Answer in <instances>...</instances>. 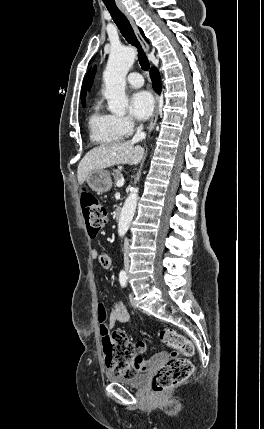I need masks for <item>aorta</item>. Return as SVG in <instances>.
<instances>
[{"instance_id":"obj_1","label":"aorta","mask_w":264,"mask_h":429,"mask_svg":"<svg viewBox=\"0 0 264 429\" xmlns=\"http://www.w3.org/2000/svg\"><path fill=\"white\" fill-rule=\"evenodd\" d=\"M136 53L131 47H116L110 52L103 73L108 110L115 114H124L128 105L125 94L126 75L135 61ZM138 200V188L128 195L121 210L118 222V234L124 236L134 217Z\"/></svg>"}]
</instances>
